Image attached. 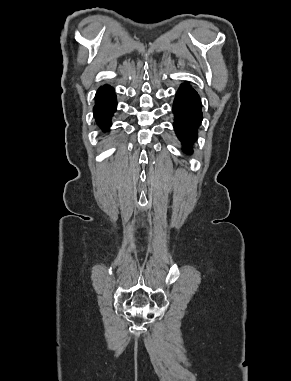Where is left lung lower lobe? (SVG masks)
I'll list each match as a JSON object with an SVG mask.
<instances>
[{"label":"left lung lower lobe","instance_id":"obj_1","mask_svg":"<svg viewBox=\"0 0 291 381\" xmlns=\"http://www.w3.org/2000/svg\"><path fill=\"white\" fill-rule=\"evenodd\" d=\"M173 113L175 132L183 143L186 153L192 152V145L197 139V128L202 121L201 101L197 92L187 83L177 91Z\"/></svg>","mask_w":291,"mask_h":381}]
</instances>
